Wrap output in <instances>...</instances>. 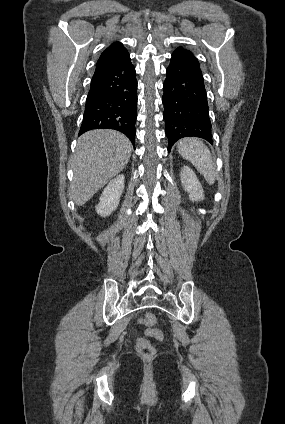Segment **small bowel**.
Masks as SVG:
<instances>
[{
	"instance_id": "obj_1",
	"label": "small bowel",
	"mask_w": 285,
	"mask_h": 424,
	"mask_svg": "<svg viewBox=\"0 0 285 424\" xmlns=\"http://www.w3.org/2000/svg\"><path fill=\"white\" fill-rule=\"evenodd\" d=\"M147 334H148V335H151V336H154V335H153V332H152L151 330H148V331H147ZM154 337H155V336H154Z\"/></svg>"
}]
</instances>
